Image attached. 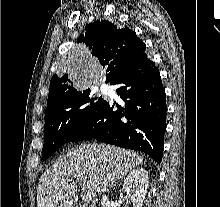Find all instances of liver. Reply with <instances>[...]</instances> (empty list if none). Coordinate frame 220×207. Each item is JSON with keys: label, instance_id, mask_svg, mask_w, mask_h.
Instances as JSON below:
<instances>
[{"label": "liver", "instance_id": "6515ba94", "mask_svg": "<svg viewBox=\"0 0 220 207\" xmlns=\"http://www.w3.org/2000/svg\"><path fill=\"white\" fill-rule=\"evenodd\" d=\"M143 158L134 151L116 146L83 143L69 150L40 177L37 207H73L77 182L94 198L138 167ZM107 191V190H106Z\"/></svg>", "mask_w": 220, "mask_h": 207}]
</instances>
